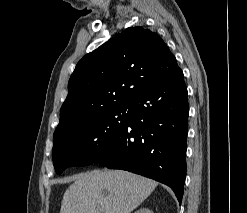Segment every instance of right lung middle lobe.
Segmentation results:
<instances>
[{
  "label": "right lung middle lobe",
  "instance_id": "right-lung-middle-lobe-1",
  "mask_svg": "<svg viewBox=\"0 0 247 213\" xmlns=\"http://www.w3.org/2000/svg\"><path fill=\"white\" fill-rule=\"evenodd\" d=\"M130 102L112 107L54 138L53 164L57 174L69 166L96 162L107 152L120 128L131 115Z\"/></svg>",
  "mask_w": 247,
  "mask_h": 213
}]
</instances>
